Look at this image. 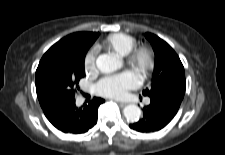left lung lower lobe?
I'll return each mask as SVG.
<instances>
[{
  "label": "left lung lower lobe",
  "instance_id": "obj_1",
  "mask_svg": "<svg viewBox=\"0 0 225 155\" xmlns=\"http://www.w3.org/2000/svg\"><path fill=\"white\" fill-rule=\"evenodd\" d=\"M150 99V105L143 109V118L130 124L131 129L142 133L161 130L174 118L182 101L178 98Z\"/></svg>",
  "mask_w": 225,
  "mask_h": 155
}]
</instances>
